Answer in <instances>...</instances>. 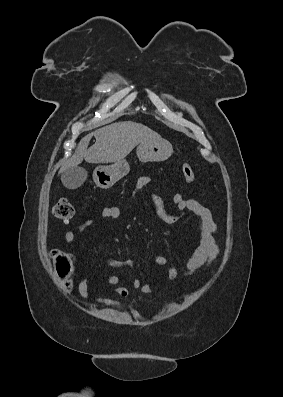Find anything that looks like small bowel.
<instances>
[{
  "mask_svg": "<svg viewBox=\"0 0 283 397\" xmlns=\"http://www.w3.org/2000/svg\"><path fill=\"white\" fill-rule=\"evenodd\" d=\"M151 183V178L148 176L140 177L134 187V192L149 185ZM173 201L180 212L190 211L192 212L198 220V227L200 230L199 242L195 249L193 250L191 256L186 262V275H191L195 271L210 266L216 259L219 248L215 240V232L217 230V224L214 221L211 212L200 204L195 199H185L181 194L175 193L173 195ZM152 206L156 214L167 223H175L179 220L180 216L170 213L163 203V201L156 195H152ZM121 213V207L119 205H114L102 209L99 213V217L102 219H117ZM94 223V218H88L80 224L77 231H68L65 234V242L67 244H72L77 235L83 233ZM155 263L157 265H167L170 263L169 259L164 256H157L155 258ZM132 261L129 259H110L106 262V265L110 268H121L132 266ZM178 276V270L175 266H170L167 270V278L169 280H174ZM107 284L114 286L115 292L126 297L129 295V290L125 286L121 285V279L118 276L112 275L106 279ZM153 282L142 283L139 279H135L132 282V287L135 289H140L145 294L153 293ZM78 292L84 298H89V280L83 278L78 284ZM95 302L109 307L118 308L121 306V301L116 298L110 297H97Z\"/></svg>",
  "mask_w": 283,
  "mask_h": 397,
  "instance_id": "small-bowel-1",
  "label": "small bowel"
}]
</instances>
